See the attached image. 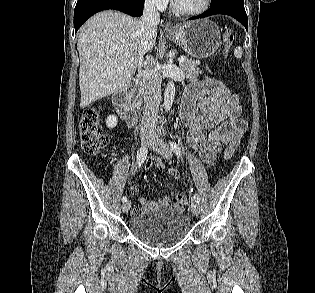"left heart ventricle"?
Masks as SVG:
<instances>
[{
    "label": "left heart ventricle",
    "mask_w": 315,
    "mask_h": 293,
    "mask_svg": "<svg viewBox=\"0 0 315 293\" xmlns=\"http://www.w3.org/2000/svg\"><path fill=\"white\" fill-rule=\"evenodd\" d=\"M177 3L186 10H195L200 8L205 0H176Z\"/></svg>",
    "instance_id": "b2bd125f"
}]
</instances>
